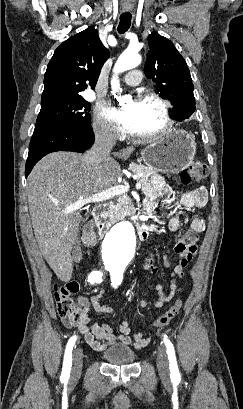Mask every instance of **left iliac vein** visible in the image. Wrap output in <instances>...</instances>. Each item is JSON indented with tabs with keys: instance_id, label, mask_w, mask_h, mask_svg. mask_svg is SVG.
Instances as JSON below:
<instances>
[{
	"instance_id": "left-iliac-vein-1",
	"label": "left iliac vein",
	"mask_w": 243,
	"mask_h": 409,
	"mask_svg": "<svg viewBox=\"0 0 243 409\" xmlns=\"http://www.w3.org/2000/svg\"><path fill=\"white\" fill-rule=\"evenodd\" d=\"M157 366L160 376L163 379H167L169 377V361L164 346L158 347Z\"/></svg>"
}]
</instances>
